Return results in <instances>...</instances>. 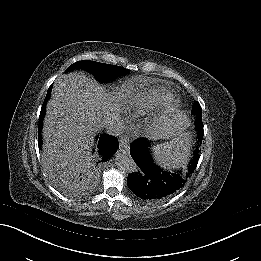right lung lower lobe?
<instances>
[{
	"instance_id": "right-lung-lower-lobe-1",
	"label": "right lung lower lobe",
	"mask_w": 261,
	"mask_h": 261,
	"mask_svg": "<svg viewBox=\"0 0 261 261\" xmlns=\"http://www.w3.org/2000/svg\"><path fill=\"white\" fill-rule=\"evenodd\" d=\"M51 87H49L45 101L43 103V106L41 108L40 116H39V127H38V143L40 145L41 142V135L40 131L42 128V121L45 114V105L50 97L51 93ZM97 147H96V154L99 158V163L102 164L106 160H108L114 153H116L118 149V139L114 136L108 135V134H101L99 137H97Z\"/></svg>"
}]
</instances>
